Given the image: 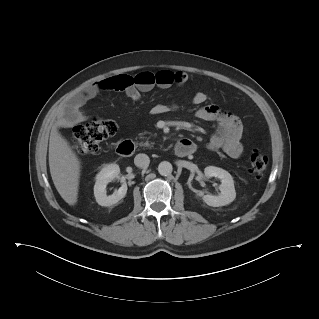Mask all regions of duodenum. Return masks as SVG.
Here are the masks:
<instances>
[{
	"mask_svg": "<svg viewBox=\"0 0 319 319\" xmlns=\"http://www.w3.org/2000/svg\"><path fill=\"white\" fill-rule=\"evenodd\" d=\"M134 143L130 140H125L117 146V153L120 156H128L134 151ZM195 144L190 139H181L175 145V154L178 157H187L195 151Z\"/></svg>",
	"mask_w": 319,
	"mask_h": 319,
	"instance_id": "1",
	"label": "duodenum"
}]
</instances>
